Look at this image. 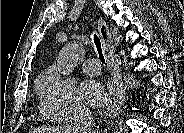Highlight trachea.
<instances>
[{"label":"trachea","instance_id":"1","mask_svg":"<svg viewBox=\"0 0 184 133\" xmlns=\"http://www.w3.org/2000/svg\"><path fill=\"white\" fill-rule=\"evenodd\" d=\"M93 39H94V43L96 45V48H97V51L99 54V59L103 64H105V58L103 55V50H102V45H101L100 39L96 35H94Z\"/></svg>","mask_w":184,"mask_h":133}]
</instances>
